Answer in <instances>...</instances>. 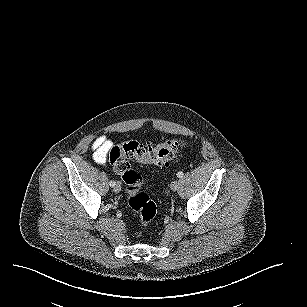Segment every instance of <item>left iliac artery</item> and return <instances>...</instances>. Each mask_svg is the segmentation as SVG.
I'll return each instance as SVG.
<instances>
[{"label":"left iliac artery","instance_id":"1","mask_svg":"<svg viewBox=\"0 0 307 307\" xmlns=\"http://www.w3.org/2000/svg\"><path fill=\"white\" fill-rule=\"evenodd\" d=\"M183 175H184V174H183L182 172H178V173H177V177H179V178H182Z\"/></svg>","mask_w":307,"mask_h":307}]
</instances>
